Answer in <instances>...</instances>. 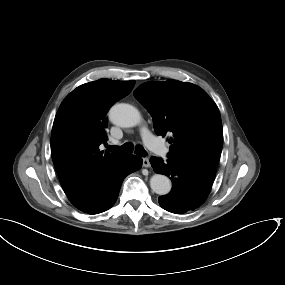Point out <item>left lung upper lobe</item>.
Masks as SVG:
<instances>
[{
  "instance_id": "5c2ea615",
  "label": "left lung upper lobe",
  "mask_w": 285,
  "mask_h": 285,
  "mask_svg": "<svg viewBox=\"0 0 285 285\" xmlns=\"http://www.w3.org/2000/svg\"><path fill=\"white\" fill-rule=\"evenodd\" d=\"M135 98L153 118L158 135H172L168 157L216 173L223 146L219 109L200 87L168 80L146 82Z\"/></svg>"
}]
</instances>
